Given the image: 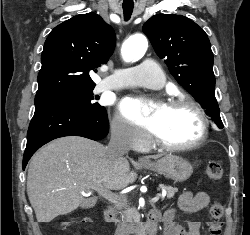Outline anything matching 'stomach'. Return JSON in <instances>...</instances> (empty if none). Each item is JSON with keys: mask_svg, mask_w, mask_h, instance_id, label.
Instances as JSON below:
<instances>
[{"mask_svg": "<svg viewBox=\"0 0 250 235\" xmlns=\"http://www.w3.org/2000/svg\"><path fill=\"white\" fill-rule=\"evenodd\" d=\"M142 166L150 171L164 175L175 182L186 181L192 174V165L176 155H166L155 162H148Z\"/></svg>", "mask_w": 250, "mask_h": 235, "instance_id": "stomach-1", "label": "stomach"}]
</instances>
